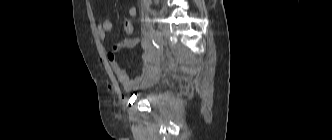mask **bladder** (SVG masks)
<instances>
[{
	"label": "bladder",
	"instance_id": "bladder-1",
	"mask_svg": "<svg viewBox=\"0 0 332 140\" xmlns=\"http://www.w3.org/2000/svg\"><path fill=\"white\" fill-rule=\"evenodd\" d=\"M157 84V80L152 78V80L144 87L145 89H151Z\"/></svg>",
	"mask_w": 332,
	"mask_h": 140
}]
</instances>
